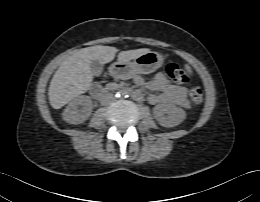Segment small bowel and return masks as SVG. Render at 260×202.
<instances>
[{"mask_svg": "<svg viewBox=\"0 0 260 202\" xmlns=\"http://www.w3.org/2000/svg\"><path fill=\"white\" fill-rule=\"evenodd\" d=\"M135 84L145 85L151 91L156 93L146 96V101L150 104L172 103L188 109L190 104L187 100V87L172 84L163 73H158L148 82H145L140 75H134Z\"/></svg>", "mask_w": 260, "mask_h": 202, "instance_id": "small-bowel-1", "label": "small bowel"}]
</instances>
